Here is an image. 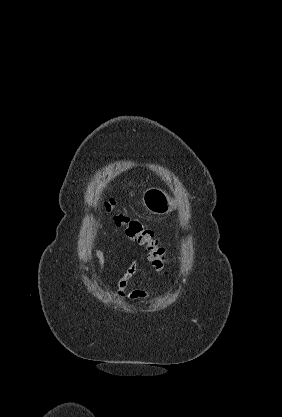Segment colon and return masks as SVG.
Returning <instances> with one entry per match:
<instances>
[{"instance_id":"5ec220e1","label":"colon","mask_w":282,"mask_h":417,"mask_svg":"<svg viewBox=\"0 0 282 417\" xmlns=\"http://www.w3.org/2000/svg\"><path fill=\"white\" fill-rule=\"evenodd\" d=\"M105 210L114 218L116 225L125 230L128 237L143 245L148 251V257L153 266L157 269H163L167 262L164 248L155 238L151 228L145 226L136 219H130L125 212L119 210L116 202L112 198L103 199Z\"/></svg>"}]
</instances>
